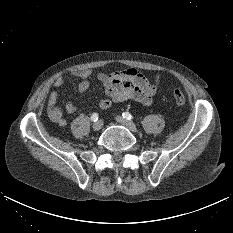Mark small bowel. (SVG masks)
Returning <instances> with one entry per match:
<instances>
[{"label": "small bowel", "instance_id": "c3829d8e", "mask_svg": "<svg viewBox=\"0 0 233 233\" xmlns=\"http://www.w3.org/2000/svg\"><path fill=\"white\" fill-rule=\"evenodd\" d=\"M73 74L79 78L77 88L80 92H85L90 87L91 80H97L104 86L107 97L99 101L98 106L100 109H108L113 103L127 100H133L146 106L151 105L161 82L160 74L147 77L135 68L116 70L109 73L86 69L75 71ZM65 84L66 80L64 78H57L53 82V86L57 88ZM58 99V91H52L49 94L47 114L51 121L63 127L67 124L64 110L68 114H73L76 111V106L72 102H67L63 110L57 105Z\"/></svg>", "mask_w": 233, "mask_h": 233}]
</instances>
